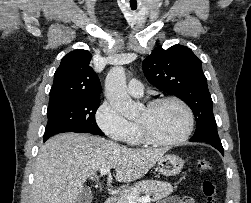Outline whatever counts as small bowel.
<instances>
[{
  "instance_id": "1",
  "label": "small bowel",
  "mask_w": 251,
  "mask_h": 203,
  "mask_svg": "<svg viewBox=\"0 0 251 203\" xmlns=\"http://www.w3.org/2000/svg\"><path fill=\"white\" fill-rule=\"evenodd\" d=\"M159 203H196L191 197H182L179 198L177 196H170Z\"/></svg>"
}]
</instances>
